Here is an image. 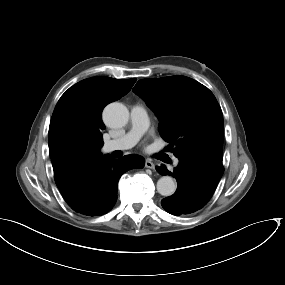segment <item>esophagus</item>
<instances>
[{
  "label": "esophagus",
  "mask_w": 285,
  "mask_h": 285,
  "mask_svg": "<svg viewBox=\"0 0 285 285\" xmlns=\"http://www.w3.org/2000/svg\"><path fill=\"white\" fill-rule=\"evenodd\" d=\"M145 167L149 168V169H154L155 168V164L150 159H146Z\"/></svg>",
  "instance_id": "obj_1"
}]
</instances>
